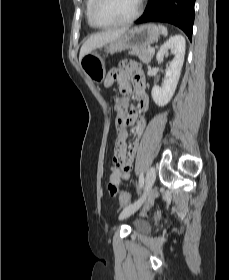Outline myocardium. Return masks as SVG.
Masks as SVG:
<instances>
[{
    "label": "myocardium",
    "mask_w": 229,
    "mask_h": 280,
    "mask_svg": "<svg viewBox=\"0 0 229 280\" xmlns=\"http://www.w3.org/2000/svg\"><path fill=\"white\" fill-rule=\"evenodd\" d=\"M102 0H94V4L91 9V21L93 25L97 28H109L118 27L123 25H128L134 22L141 14L144 6V0H138V5L134 13L126 19L113 21V22H101L97 18V10L101 4Z\"/></svg>",
    "instance_id": "1"
}]
</instances>
